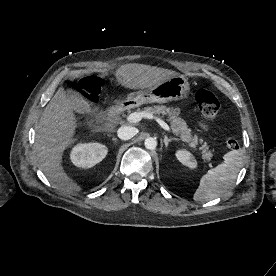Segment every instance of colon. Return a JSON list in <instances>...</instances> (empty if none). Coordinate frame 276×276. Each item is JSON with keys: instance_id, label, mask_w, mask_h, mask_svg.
Masks as SVG:
<instances>
[{"instance_id": "obj_1", "label": "colon", "mask_w": 276, "mask_h": 276, "mask_svg": "<svg viewBox=\"0 0 276 276\" xmlns=\"http://www.w3.org/2000/svg\"><path fill=\"white\" fill-rule=\"evenodd\" d=\"M100 83L93 77H85L73 83V88L84 93L92 102L97 101L100 91ZM195 101L201 113L208 119L217 118L220 103L217 96L206 88L199 89L195 94ZM226 149L235 151L239 149V142L235 137H229L225 141Z\"/></svg>"}]
</instances>
